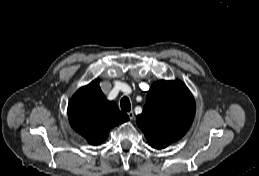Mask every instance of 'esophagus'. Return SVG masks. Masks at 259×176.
I'll return each mask as SVG.
<instances>
[{"instance_id": "esophagus-1", "label": "esophagus", "mask_w": 259, "mask_h": 176, "mask_svg": "<svg viewBox=\"0 0 259 176\" xmlns=\"http://www.w3.org/2000/svg\"><path fill=\"white\" fill-rule=\"evenodd\" d=\"M128 116H129V118H130V120H133L134 119V112L131 110V111H129L128 112Z\"/></svg>"}]
</instances>
